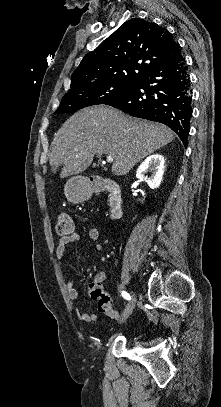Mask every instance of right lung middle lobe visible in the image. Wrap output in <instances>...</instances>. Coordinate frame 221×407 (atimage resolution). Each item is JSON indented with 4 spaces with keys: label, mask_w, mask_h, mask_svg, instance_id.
Masks as SVG:
<instances>
[{
    "label": "right lung middle lobe",
    "mask_w": 221,
    "mask_h": 407,
    "mask_svg": "<svg viewBox=\"0 0 221 407\" xmlns=\"http://www.w3.org/2000/svg\"><path fill=\"white\" fill-rule=\"evenodd\" d=\"M135 83H101L67 92L55 114L106 104L132 90Z\"/></svg>",
    "instance_id": "dd1d6c3e"
}]
</instances>
